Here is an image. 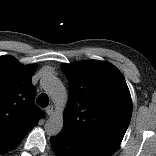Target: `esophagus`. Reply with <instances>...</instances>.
Masks as SVG:
<instances>
[{
    "label": "esophagus",
    "instance_id": "esophagus-1",
    "mask_svg": "<svg viewBox=\"0 0 156 156\" xmlns=\"http://www.w3.org/2000/svg\"><path fill=\"white\" fill-rule=\"evenodd\" d=\"M46 113L48 115H52L53 111H54V107L52 105H49L46 109H45Z\"/></svg>",
    "mask_w": 156,
    "mask_h": 156
}]
</instances>
